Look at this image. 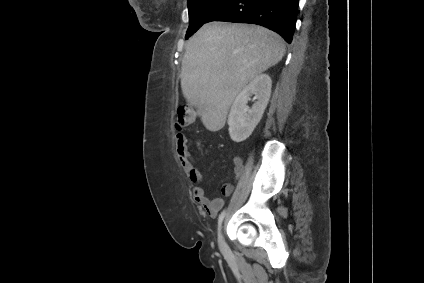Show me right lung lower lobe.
Returning <instances> with one entry per match:
<instances>
[{
    "instance_id": "1",
    "label": "right lung lower lobe",
    "mask_w": 424,
    "mask_h": 283,
    "mask_svg": "<svg viewBox=\"0 0 424 283\" xmlns=\"http://www.w3.org/2000/svg\"><path fill=\"white\" fill-rule=\"evenodd\" d=\"M299 0H229L210 21L251 23L267 27L292 41Z\"/></svg>"
}]
</instances>
